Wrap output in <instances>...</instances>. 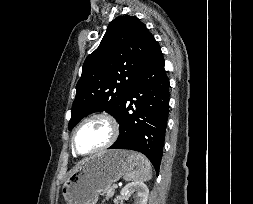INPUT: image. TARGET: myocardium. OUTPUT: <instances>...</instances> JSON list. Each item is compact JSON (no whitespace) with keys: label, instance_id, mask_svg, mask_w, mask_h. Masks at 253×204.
I'll list each match as a JSON object with an SVG mask.
<instances>
[{"label":"myocardium","instance_id":"1","mask_svg":"<svg viewBox=\"0 0 253 204\" xmlns=\"http://www.w3.org/2000/svg\"><path fill=\"white\" fill-rule=\"evenodd\" d=\"M94 119H102L109 124V126L111 128L110 138L102 146H100L94 150H91L89 152L82 153L76 147L77 132L84 124H86L87 122L94 120ZM119 132H120L119 124L112 116L105 114V113L92 114V115L86 117L85 119H83L74 129L73 134H72V138H71L72 151L75 155L81 156V157L90 156V155L99 153L101 151H104V150L108 149L109 147H111L116 142V140L119 136Z\"/></svg>","mask_w":253,"mask_h":204}]
</instances>
